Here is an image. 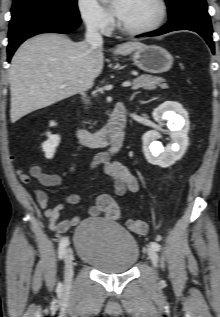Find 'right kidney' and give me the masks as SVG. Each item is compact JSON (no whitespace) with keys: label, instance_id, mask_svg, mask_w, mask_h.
<instances>
[{"label":"right kidney","instance_id":"1","mask_svg":"<svg viewBox=\"0 0 220 317\" xmlns=\"http://www.w3.org/2000/svg\"><path fill=\"white\" fill-rule=\"evenodd\" d=\"M50 126H56V123L51 122ZM47 137L48 139L42 144V149L45 153V157L47 159H52L56 151V147L60 143V136L47 133Z\"/></svg>","mask_w":220,"mask_h":317}]
</instances>
